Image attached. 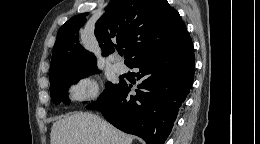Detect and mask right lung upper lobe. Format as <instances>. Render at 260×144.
I'll return each instance as SVG.
<instances>
[{
    "label": "right lung upper lobe",
    "mask_w": 260,
    "mask_h": 144,
    "mask_svg": "<svg viewBox=\"0 0 260 144\" xmlns=\"http://www.w3.org/2000/svg\"><path fill=\"white\" fill-rule=\"evenodd\" d=\"M111 5H114L111 8ZM83 13L72 17L58 31L49 76L67 70L96 66L93 53L79 43ZM187 29L178 11L167 0H111L95 24V36L107 56L124 48L125 62L179 41Z\"/></svg>",
    "instance_id": "cb5924a9"
}]
</instances>
